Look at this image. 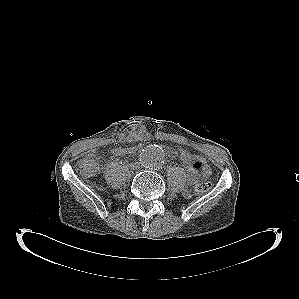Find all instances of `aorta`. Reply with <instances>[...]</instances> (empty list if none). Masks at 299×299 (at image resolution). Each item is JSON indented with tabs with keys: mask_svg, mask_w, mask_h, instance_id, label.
Returning a JSON list of instances; mask_svg holds the SVG:
<instances>
[{
	"mask_svg": "<svg viewBox=\"0 0 299 299\" xmlns=\"http://www.w3.org/2000/svg\"><path fill=\"white\" fill-rule=\"evenodd\" d=\"M140 161L145 168H159L164 163V151L158 145L146 146L140 153Z\"/></svg>",
	"mask_w": 299,
	"mask_h": 299,
	"instance_id": "aorta-1",
	"label": "aorta"
}]
</instances>
